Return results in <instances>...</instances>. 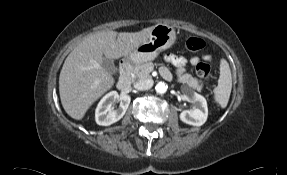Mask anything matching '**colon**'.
Instances as JSON below:
<instances>
[{"label": "colon", "instance_id": "colon-1", "mask_svg": "<svg viewBox=\"0 0 287 175\" xmlns=\"http://www.w3.org/2000/svg\"><path fill=\"white\" fill-rule=\"evenodd\" d=\"M204 46V41L198 37H190L186 42V49L191 52L201 51ZM196 72L207 83L210 81L211 68L206 61H201L196 65Z\"/></svg>", "mask_w": 287, "mask_h": 175}]
</instances>
